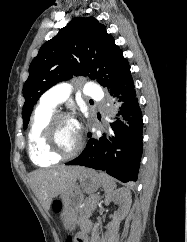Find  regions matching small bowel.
<instances>
[{
  "label": "small bowel",
  "mask_w": 187,
  "mask_h": 242,
  "mask_svg": "<svg viewBox=\"0 0 187 242\" xmlns=\"http://www.w3.org/2000/svg\"><path fill=\"white\" fill-rule=\"evenodd\" d=\"M80 230L77 233L78 242H89L88 234L91 231L92 223L89 220H82L79 224Z\"/></svg>",
  "instance_id": "c3829d8e"
}]
</instances>
